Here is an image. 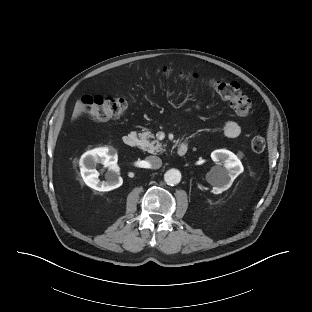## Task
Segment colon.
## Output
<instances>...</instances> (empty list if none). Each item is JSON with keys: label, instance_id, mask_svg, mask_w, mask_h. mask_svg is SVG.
Segmentation results:
<instances>
[{"label": "colon", "instance_id": "obj_1", "mask_svg": "<svg viewBox=\"0 0 312 312\" xmlns=\"http://www.w3.org/2000/svg\"><path fill=\"white\" fill-rule=\"evenodd\" d=\"M195 77V76H193ZM214 90L229 102L235 115L245 118L251 110V101L244 95L236 82L215 80L211 83ZM127 108V101L122 97L107 95H87L83 99L84 111L94 120L104 121L122 116ZM251 149L262 152L266 147V141L261 136H255L250 142Z\"/></svg>", "mask_w": 312, "mask_h": 312}]
</instances>
